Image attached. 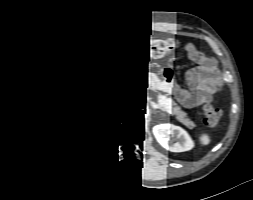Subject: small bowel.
<instances>
[{
    "instance_id": "c3829d8e",
    "label": "small bowel",
    "mask_w": 253,
    "mask_h": 200,
    "mask_svg": "<svg viewBox=\"0 0 253 200\" xmlns=\"http://www.w3.org/2000/svg\"><path fill=\"white\" fill-rule=\"evenodd\" d=\"M192 56L197 62L194 102L196 104L210 102L213 94L221 87L216 63L201 52L192 51Z\"/></svg>"
}]
</instances>
